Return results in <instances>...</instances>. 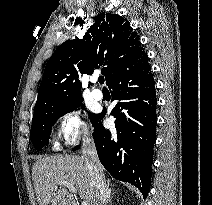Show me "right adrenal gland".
<instances>
[{
  "instance_id": "right-adrenal-gland-1",
  "label": "right adrenal gland",
  "mask_w": 212,
  "mask_h": 205,
  "mask_svg": "<svg viewBox=\"0 0 212 205\" xmlns=\"http://www.w3.org/2000/svg\"><path fill=\"white\" fill-rule=\"evenodd\" d=\"M115 189L114 188H110V183L109 181L107 182V186H106V205L111 202V196L114 194Z\"/></svg>"
}]
</instances>
